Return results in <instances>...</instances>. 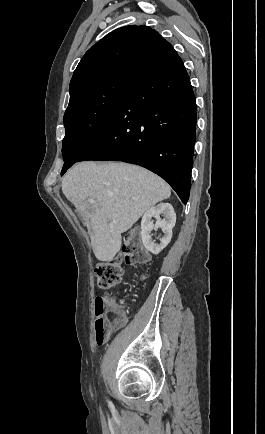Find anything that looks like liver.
<instances>
[{
  "instance_id": "1",
  "label": "liver",
  "mask_w": 265,
  "mask_h": 434,
  "mask_svg": "<svg viewBox=\"0 0 265 434\" xmlns=\"http://www.w3.org/2000/svg\"><path fill=\"white\" fill-rule=\"evenodd\" d=\"M62 192L80 212L100 262H111L121 248V234L148 208L171 196L170 186L162 178L123 162L76 164L65 174ZM87 200H95V204Z\"/></svg>"
}]
</instances>
